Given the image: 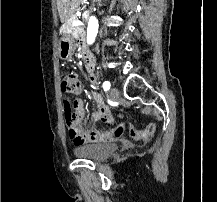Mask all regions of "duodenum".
<instances>
[{"label":"duodenum","mask_w":217,"mask_h":202,"mask_svg":"<svg viewBox=\"0 0 217 202\" xmlns=\"http://www.w3.org/2000/svg\"><path fill=\"white\" fill-rule=\"evenodd\" d=\"M82 59L89 76H93L95 68V61L93 55L87 49L82 48Z\"/></svg>","instance_id":"410a0bca"}]
</instances>
